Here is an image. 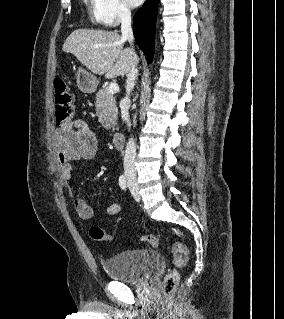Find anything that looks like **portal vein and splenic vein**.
Masks as SVG:
<instances>
[{"instance_id":"1","label":"portal vein and splenic vein","mask_w":284,"mask_h":319,"mask_svg":"<svg viewBox=\"0 0 284 319\" xmlns=\"http://www.w3.org/2000/svg\"><path fill=\"white\" fill-rule=\"evenodd\" d=\"M107 89L109 93L114 94L119 91V86L116 83H110Z\"/></svg>"}]
</instances>
